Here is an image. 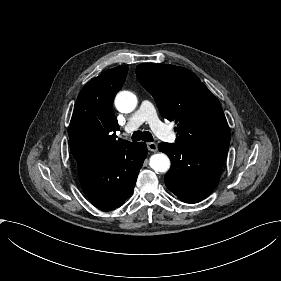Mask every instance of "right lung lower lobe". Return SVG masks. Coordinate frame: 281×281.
I'll return each mask as SVG.
<instances>
[{
    "instance_id": "1",
    "label": "right lung lower lobe",
    "mask_w": 281,
    "mask_h": 281,
    "mask_svg": "<svg viewBox=\"0 0 281 281\" xmlns=\"http://www.w3.org/2000/svg\"><path fill=\"white\" fill-rule=\"evenodd\" d=\"M146 156L145 143L130 142L114 154L77 160L79 179L87 198L102 210L120 207L131 196Z\"/></svg>"
}]
</instances>
